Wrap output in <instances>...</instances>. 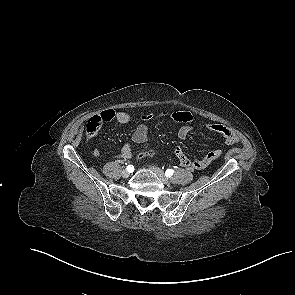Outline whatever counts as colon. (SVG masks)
I'll return each mask as SVG.
<instances>
[{"mask_svg": "<svg viewBox=\"0 0 295 295\" xmlns=\"http://www.w3.org/2000/svg\"><path fill=\"white\" fill-rule=\"evenodd\" d=\"M101 122L99 120V118L97 116L91 118L87 124V131L89 134H94L98 128L100 127ZM154 150L153 149H147L145 151H143L140 155V158H147V157H151L154 155Z\"/></svg>", "mask_w": 295, "mask_h": 295, "instance_id": "colon-1", "label": "colon"}]
</instances>
